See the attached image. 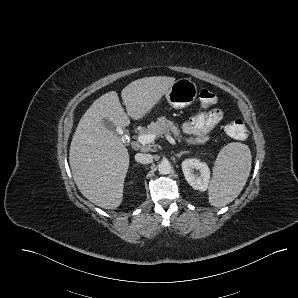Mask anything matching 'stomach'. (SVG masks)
<instances>
[{
  "label": "stomach",
  "instance_id": "obj_1",
  "mask_svg": "<svg viewBox=\"0 0 298 298\" xmlns=\"http://www.w3.org/2000/svg\"><path fill=\"white\" fill-rule=\"evenodd\" d=\"M197 93L198 90L195 82L188 78H179L172 82L164 95L167 103L172 108L183 109L190 106L196 100Z\"/></svg>",
  "mask_w": 298,
  "mask_h": 298
}]
</instances>
